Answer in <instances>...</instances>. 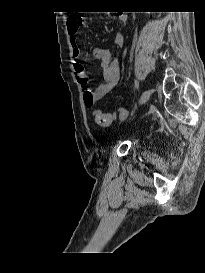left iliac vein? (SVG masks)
Instances as JSON below:
<instances>
[{
    "instance_id": "left-iliac-vein-1",
    "label": "left iliac vein",
    "mask_w": 205,
    "mask_h": 273,
    "mask_svg": "<svg viewBox=\"0 0 205 273\" xmlns=\"http://www.w3.org/2000/svg\"><path fill=\"white\" fill-rule=\"evenodd\" d=\"M150 95L151 91L149 89L145 90L140 97L139 105L145 104L149 100Z\"/></svg>"
}]
</instances>
